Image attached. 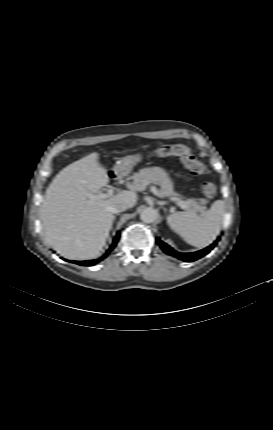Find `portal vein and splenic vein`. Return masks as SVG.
Wrapping results in <instances>:
<instances>
[{"mask_svg": "<svg viewBox=\"0 0 273 430\" xmlns=\"http://www.w3.org/2000/svg\"><path fill=\"white\" fill-rule=\"evenodd\" d=\"M151 191L156 196H158V197H161V198L164 197V195L155 186L151 187ZM112 194H113V190L110 189V190L107 191V193H101V194H98V195H91L90 199L93 200V201L94 200L106 199V198L110 197ZM177 205L180 206L183 209L186 208V204L183 201H177Z\"/></svg>", "mask_w": 273, "mask_h": 430, "instance_id": "1", "label": "portal vein and splenic vein"}]
</instances>
